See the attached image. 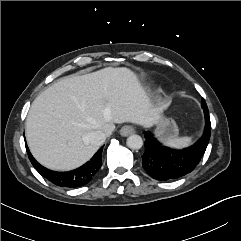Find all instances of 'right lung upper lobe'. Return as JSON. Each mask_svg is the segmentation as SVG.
<instances>
[{"label":"right lung upper lobe","mask_w":241,"mask_h":241,"mask_svg":"<svg viewBox=\"0 0 241 241\" xmlns=\"http://www.w3.org/2000/svg\"><path fill=\"white\" fill-rule=\"evenodd\" d=\"M52 183H54L55 185H58V183H56L54 180H51Z\"/></svg>","instance_id":"cb5924a9"}]
</instances>
